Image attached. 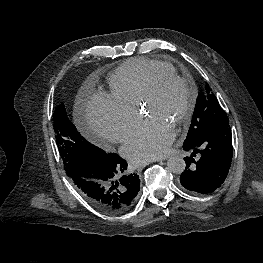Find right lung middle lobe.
Segmentation results:
<instances>
[{
  "mask_svg": "<svg viewBox=\"0 0 263 263\" xmlns=\"http://www.w3.org/2000/svg\"><path fill=\"white\" fill-rule=\"evenodd\" d=\"M55 138L63 160L64 169L69 175L73 169L86 160H99L107 154L89 143L69 120L64 104H60L53 115Z\"/></svg>",
  "mask_w": 263,
  "mask_h": 263,
  "instance_id": "1",
  "label": "right lung middle lobe"
}]
</instances>
